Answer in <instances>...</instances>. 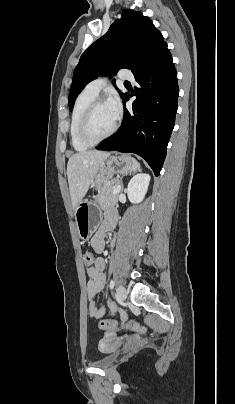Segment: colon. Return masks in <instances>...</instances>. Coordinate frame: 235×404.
Returning <instances> with one entry per match:
<instances>
[{
    "label": "colon",
    "mask_w": 235,
    "mask_h": 404,
    "mask_svg": "<svg viewBox=\"0 0 235 404\" xmlns=\"http://www.w3.org/2000/svg\"><path fill=\"white\" fill-rule=\"evenodd\" d=\"M83 259H84V263H85L86 266H91L95 262V257L91 252H86L84 254ZM99 326L101 328L112 327V328H115L117 330H121V329L126 328V329L136 331V332H145L146 331V328L143 325H141L140 323L135 322V321L121 322L119 324H115V323H113L111 321L100 320L99 321Z\"/></svg>",
    "instance_id": "1"
}]
</instances>
